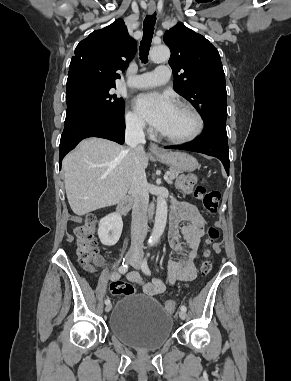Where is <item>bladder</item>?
<instances>
[{
  "mask_svg": "<svg viewBox=\"0 0 291 381\" xmlns=\"http://www.w3.org/2000/svg\"><path fill=\"white\" fill-rule=\"evenodd\" d=\"M172 317L154 296L127 295L109 316V331L126 345L138 350L162 347L172 336Z\"/></svg>",
  "mask_w": 291,
  "mask_h": 381,
  "instance_id": "bladder-1",
  "label": "bladder"
}]
</instances>
